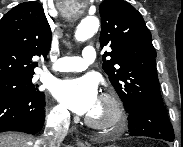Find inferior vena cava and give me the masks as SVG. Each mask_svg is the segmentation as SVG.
I'll use <instances>...</instances> for the list:
<instances>
[{
    "label": "inferior vena cava",
    "instance_id": "inferior-vena-cava-1",
    "mask_svg": "<svg viewBox=\"0 0 183 147\" xmlns=\"http://www.w3.org/2000/svg\"><path fill=\"white\" fill-rule=\"evenodd\" d=\"M69 112L59 110L48 118L43 136L35 142V147H60L68 132Z\"/></svg>",
    "mask_w": 183,
    "mask_h": 147
}]
</instances>
